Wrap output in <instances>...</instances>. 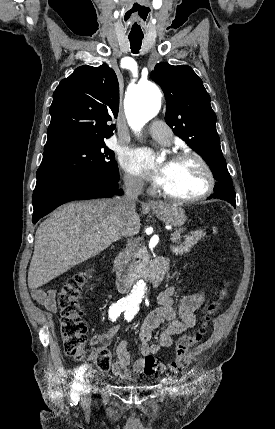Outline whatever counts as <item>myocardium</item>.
Masks as SVG:
<instances>
[{
    "label": "myocardium",
    "mask_w": 275,
    "mask_h": 429,
    "mask_svg": "<svg viewBox=\"0 0 275 429\" xmlns=\"http://www.w3.org/2000/svg\"><path fill=\"white\" fill-rule=\"evenodd\" d=\"M182 160H195L201 165L206 175L205 189L200 194L195 196L180 197V196H175L173 194H170L165 189L161 188L162 195L165 198L178 203H194V202L201 201L207 198L208 196H210L215 188V176L208 162L201 155L191 151H182V152L175 153L171 159V161H182Z\"/></svg>",
    "instance_id": "f54148a6"
}]
</instances>
